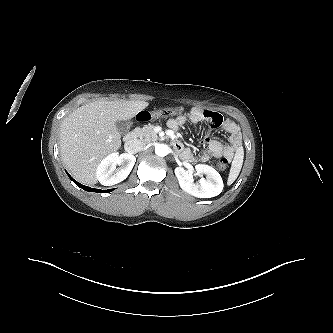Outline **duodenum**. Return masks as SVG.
<instances>
[{
    "label": "duodenum",
    "mask_w": 333,
    "mask_h": 333,
    "mask_svg": "<svg viewBox=\"0 0 333 333\" xmlns=\"http://www.w3.org/2000/svg\"><path fill=\"white\" fill-rule=\"evenodd\" d=\"M139 138V131L134 129L125 136V145L127 150H132Z\"/></svg>",
    "instance_id": "duodenum-1"
}]
</instances>
